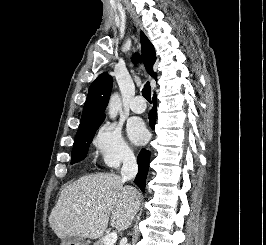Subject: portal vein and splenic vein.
I'll list each match as a JSON object with an SVG mask.
<instances>
[{"label": "portal vein and splenic vein", "mask_w": 266, "mask_h": 245, "mask_svg": "<svg viewBox=\"0 0 266 245\" xmlns=\"http://www.w3.org/2000/svg\"><path fill=\"white\" fill-rule=\"evenodd\" d=\"M118 239L117 233H110V235H106L104 239H102L103 245H115Z\"/></svg>", "instance_id": "obj_1"}]
</instances>
